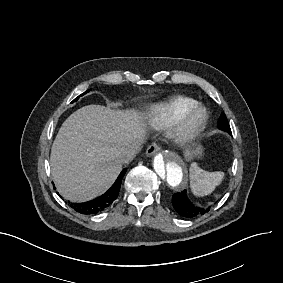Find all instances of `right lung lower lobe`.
Returning a JSON list of instances; mask_svg holds the SVG:
<instances>
[{
  "label": "right lung lower lobe",
  "mask_w": 283,
  "mask_h": 283,
  "mask_svg": "<svg viewBox=\"0 0 283 283\" xmlns=\"http://www.w3.org/2000/svg\"><path fill=\"white\" fill-rule=\"evenodd\" d=\"M126 170L127 169L122 170L113 186L105 194L88 202L71 203V207L81 214H97L106 209L117 198ZM68 203H70V201Z\"/></svg>",
  "instance_id": "right-lung-lower-lobe-1"
}]
</instances>
